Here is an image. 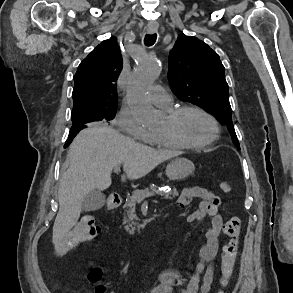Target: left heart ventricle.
<instances>
[{"instance_id": "b2bd125f", "label": "left heart ventricle", "mask_w": 293, "mask_h": 293, "mask_svg": "<svg viewBox=\"0 0 293 293\" xmlns=\"http://www.w3.org/2000/svg\"><path fill=\"white\" fill-rule=\"evenodd\" d=\"M169 130L190 143H201L212 134L210 122L203 115L194 111L184 113L175 123L166 117L160 133Z\"/></svg>"}]
</instances>
